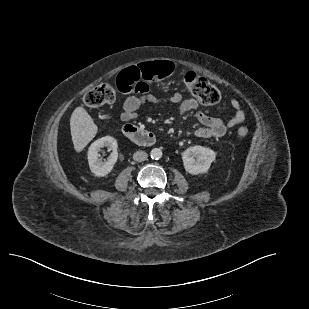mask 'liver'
Listing matches in <instances>:
<instances>
[{"instance_id": "6515ba94", "label": "liver", "mask_w": 309, "mask_h": 309, "mask_svg": "<svg viewBox=\"0 0 309 309\" xmlns=\"http://www.w3.org/2000/svg\"><path fill=\"white\" fill-rule=\"evenodd\" d=\"M72 142L76 152H81L95 137L98 127L83 107H77L70 118Z\"/></svg>"}]
</instances>
